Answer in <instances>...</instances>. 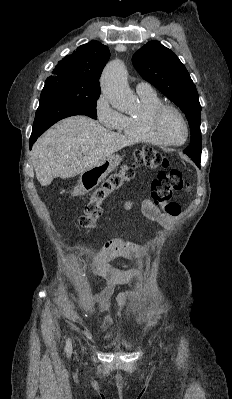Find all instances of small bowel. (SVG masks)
<instances>
[{
	"label": "small bowel",
	"instance_id": "small-bowel-1",
	"mask_svg": "<svg viewBox=\"0 0 232 399\" xmlns=\"http://www.w3.org/2000/svg\"><path fill=\"white\" fill-rule=\"evenodd\" d=\"M133 204L134 202L132 200H128L125 206L129 209L133 207ZM143 208L148 215H157L159 213L158 207L151 201H145ZM115 255L142 262H153L154 260L150 252L137 247L131 241L118 240L108 242L103 248L93 252L94 270L105 281L102 289L85 301L78 300L70 295L66 296L67 304L73 309L74 315L80 323L85 322L87 311L94 310L104 315L98 327V333L103 342L108 341L112 335L120 330V326L113 323L112 317L109 314L115 287L118 285L140 284L143 282V277L136 272H129L126 274L115 273L108 265V261ZM138 297L139 293L137 291H121L116 295L118 304L117 317L119 319L125 316L127 301L137 299Z\"/></svg>",
	"mask_w": 232,
	"mask_h": 399
}]
</instances>
